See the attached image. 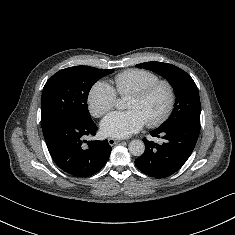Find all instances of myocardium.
I'll return each instance as SVG.
<instances>
[{
    "mask_svg": "<svg viewBox=\"0 0 235 235\" xmlns=\"http://www.w3.org/2000/svg\"><path fill=\"white\" fill-rule=\"evenodd\" d=\"M159 89L165 90L167 94V103L164 110L158 116L147 121V125L149 127H156L165 122L170 117L176 102V93L174 87L166 80H158L148 85L147 87L130 94L131 97H135L140 100H146Z\"/></svg>",
    "mask_w": 235,
    "mask_h": 235,
    "instance_id": "myocardium-1",
    "label": "myocardium"
}]
</instances>
